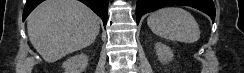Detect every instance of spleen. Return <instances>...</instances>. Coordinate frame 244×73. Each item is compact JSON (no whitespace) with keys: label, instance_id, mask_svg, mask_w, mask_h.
<instances>
[{"label":"spleen","instance_id":"1","mask_svg":"<svg viewBox=\"0 0 244 73\" xmlns=\"http://www.w3.org/2000/svg\"><path fill=\"white\" fill-rule=\"evenodd\" d=\"M147 24L159 37L171 41L194 43L200 38L195 18L179 7H165L152 13Z\"/></svg>","mask_w":244,"mask_h":73}]
</instances>
